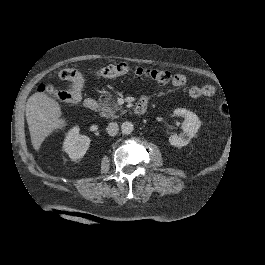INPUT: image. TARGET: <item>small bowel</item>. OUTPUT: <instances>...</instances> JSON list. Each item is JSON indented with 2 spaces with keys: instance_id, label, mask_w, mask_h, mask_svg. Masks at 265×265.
Segmentation results:
<instances>
[{
  "instance_id": "obj_1",
  "label": "small bowel",
  "mask_w": 265,
  "mask_h": 265,
  "mask_svg": "<svg viewBox=\"0 0 265 265\" xmlns=\"http://www.w3.org/2000/svg\"><path fill=\"white\" fill-rule=\"evenodd\" d=\"M187 82L186 76L183 74H176L173 77L172 83L176 87H183ZM215 93V87L211 84H205L202 86H191L188 90V94L191 98L211 97ZM140 102L148 103V97L142 96Z\"/></svg>"
}]
</instances>
